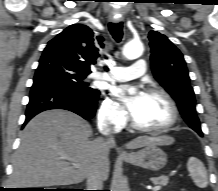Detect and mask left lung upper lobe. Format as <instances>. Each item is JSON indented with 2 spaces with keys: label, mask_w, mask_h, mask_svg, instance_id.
Instances as JSON below:
<instances>
[{
  "label": "left lung upper lobe",
  "mask_w": 218,
  "mask_h": 191,
  "mask_svg": "<svg viewBox=\"0 0 218 191\" xmlns=\"http://www.w3.org/2000/svg\"><path fill=\"white\" fill-rule=\"evenodd\" d=\"M148 38L155 79L177 102L185 122L202 136L196 114L194 91L190 86V78L182 53L165 35L157 31H150Z\"/></svg>",
  "instance_id": "obj_1"
}]
</instances>
